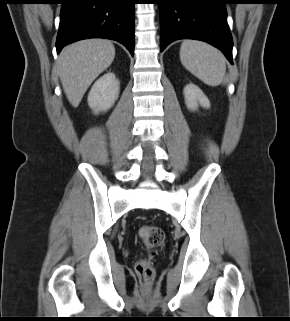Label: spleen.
<instances>
[{"instance_id": "spleen-1", "label": "spleen", "mask_w": 290, "mask_h": 321, "mask_svg": "<svg viewBox=\"0 0 290 321\" xmlns=\"http://www.w3.org/2000/svg\"><path fill=\"white\" fill-rule=\"evenodd\" d=\"M180 59L184 67L210 86L226 81V64L223 55L211 45L186 40L180 47Z\"/></svg>"}]
</instances>
